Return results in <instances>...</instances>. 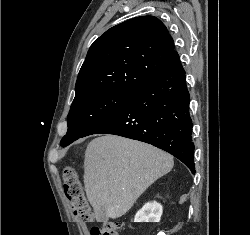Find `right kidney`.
Masks as SVG:
<instances>
[{"instance_id":"right-kidney-1","label":"right kidney","mask_w":250,"mask_h":235,"mask_svg":"<svg viewBox=\"0 0 250 235\" xmlns=\"http://www.w3.org/2000/svg\"><path fill=\"white\" fill-rule=\"evenodd\" d=\"M162 212L163 207L160 203L148 202L136 213L134 222H159Z\"/></svg>"}]
</instances>
